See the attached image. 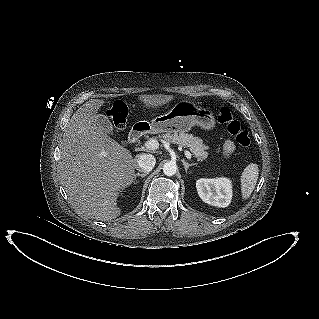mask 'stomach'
<instances>
[{"label": "stomach", "mask_w": 319, "mask_h": 319, "mask_svg": "<svg viewBox=\"0 0 319 319\" xmlns=\"http://www.w3.org/2000/svg\"><path fill=\"white\" fill-rule=\"evenodd\" d=\"M149 124L155 133L181 134L190 131L195 125L211 130L215 127V119L210 110L190 101H180L166 114L152 119Z\"/></svg>", "instance_id": "obj_1"}]
</instances>
